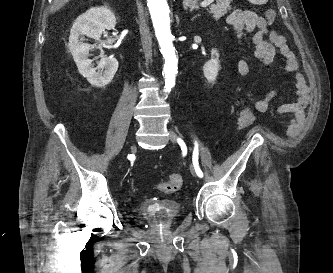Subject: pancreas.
Here are the masks:
<instances>
[{
    "instance_id": "cf45deb5",
    "label": "pancreas",
    "mask_w": 333,
    "mask_h": 273,
    "mask_svg": "<svg viewBox=\"0 0 333 273\" xmlns=\"http://www.w3.org/2000/svg\"><path fill=\"white\" fill-rule=\"evenodd\" d=\"M231 2L232 0H217L216 4L210 6L209 12L213 14L215 20H218L231 9Z\"/></svg>"
}]
</instances>
